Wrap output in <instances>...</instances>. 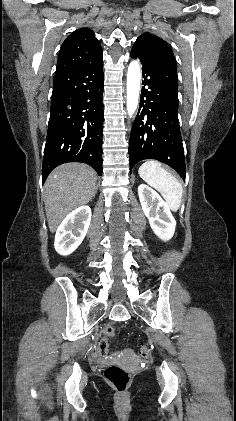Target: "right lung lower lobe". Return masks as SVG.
<instances>
[{"mask_svg":"<svg viewBox=\"0 0 236 421\" xmlns=\"http://www.w3.org/2000/svg\"><path fill=\"white\" fill-rule=\"evenodd\" d=\"M103 58L55 73L42 180L57 166L82 162L102 175Z\"/></svg>","mask_w":236,"mask_h":421,"instance_id":"1","label":"right lung lower lobe"}]
</instances>
